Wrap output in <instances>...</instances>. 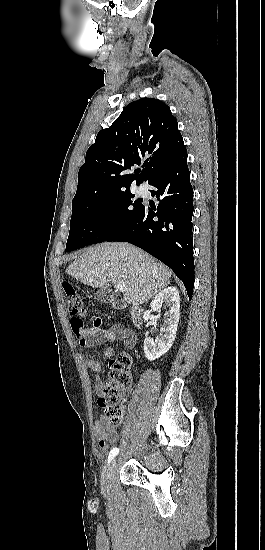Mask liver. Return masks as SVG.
Returning a JSON list of instances; mask_svg holds the SVG:
<instances>
[{
	"instance_id": "1",
	"label": "liver",
	"mask_w": 265,
	"mask_h": 550,
	"mask_svg": "<svg viewBox=\"0 0 265 550\" xmlns=\"http://www.w3.org/2000/svg\"><path fill=\"white\" fill-rule=\"evenodd\" d=\"M66 273L85 285L107 289L124 284V300L140 305L163 290L170 269L145 251L129 243H101L86 248L67 267Z\"/></svg>"
}]
</instances>
